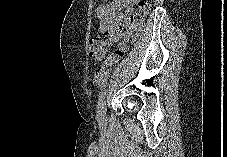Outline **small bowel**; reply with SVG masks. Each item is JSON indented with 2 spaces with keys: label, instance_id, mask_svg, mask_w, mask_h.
Wrapping results in <instances>:
<instances>
[{
  "label": "small bowel",
  "instance_id": "small-bowel-1",
  "mask_svg": "<svg viewBox=\"0 0 227 157\" xmlns=\"http://www.w3.org/2000/svg\"><path fill=\"white\" fill-rule=\"evenodd\" d=\"M137 0H111L99 5L95 14L99 20V30L110 41H118L129 24Z\"/></svg>",
  "mask_w": 227,
  "mask_h": 157
}]
</instances>
